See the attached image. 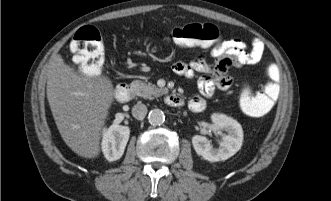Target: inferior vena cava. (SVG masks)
<instances>
[{
    "label": "inferior vena cava",
    "instance_id": "602c4592",
    "mask_svg": "<svg viewBox=\"0 0 331 201\" xmlns=\"http://www.w3.org/2000/svg\"><path fill=\"white\" fill-rule=\"evenodd\" d=\"M147 111L148 110H147L146 105L142 104L141 102H138L132 108V115L134 118H136L138 120H142L145 118Z\"/></svg>",
    "mask_w": 331,
    "mask_h": 201
}]
</instances>
